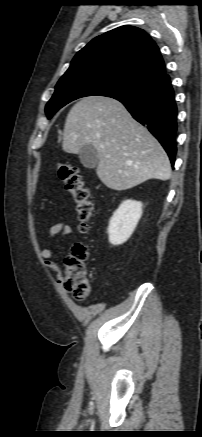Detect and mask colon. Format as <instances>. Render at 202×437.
I'll use <instances>...</instances> for the list:
<instances>
[{
  "label": "colon",
  "instance_id": "1",
  "mask_svg": "<svg viewBox=\"0 0 202 437\" xmlns=\"http://www.w3.org/2000/svg\"><path fill=\"white\" fill-rule=\"evenodd\" d=\"M57 173L64 189L72 196L79 231L87 233L93 216V203L89 190L84 186L78 169L69 163H59ZM88 247L84 243H75L66 257L63 269V286L76 299H85L91 291L87 273Z\"/></svg>",
  "mask_w": 202,
  "mask_h": 437
}]
</instances>
